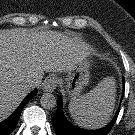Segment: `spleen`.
Instances as JSON below:
<instances>
[{
    "mask_svg": "<svg viewBox=\"0 0 135 135\" xmlns=\"http://www.w3.org/2000/svg\"><path fill=\"white\" fill-rule=\"evenodd\" d=\"M116 81L106 77L91 91L69 103V112L75 123L84 128L104 127L114 111Z\"/></svg>",
    "mask_w": 135,
    "mask_h": 135,
    "instance_id": "obj_1",
    "label": "spleen"
}]
</instances>
